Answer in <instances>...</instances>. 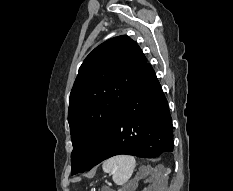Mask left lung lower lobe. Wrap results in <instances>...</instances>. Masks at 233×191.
<instances>
[{"mask_svg":"<svg viewBox=\"0 0 233 191\" xmlns=\"http://www.w3.org/2000/svg\"><path fill=\"white\" fill-rule=\"evenodd\" d=\"M167 99L150 64L138 76L85 170L119 154L155 158L173 151Z\"/></svg>","mask_w":233,"mask_h":191,"instance_id":"1","label":"left lung lower lobe"}]
</instances>
